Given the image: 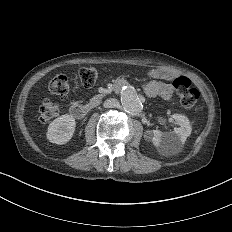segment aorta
<instances>
[{
  "instance_id": "obj_1",
  "label": "aorta",
  "mask_w": 232,
  "mask_h": 232,
  "mask_svg": "<svg viewBox=\"0 0 232 232\" xmlns=\"http://www.w3.org/2000/svg\"><path fill=\"white\" fill-rule=\"evenodd\" d=\"M121 103L125 111L132 115H139L143 109V105L137 95L134 87L128 85L121 91Z\"/></svg>"
}]
</instances>
